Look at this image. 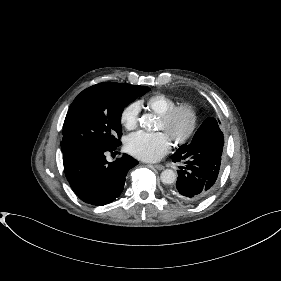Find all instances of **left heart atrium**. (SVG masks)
<instances>
[{
    "mask_svg": "<svg viewBox=\"0 0 281 281\" xmlns=\"http://www.w3.org/2000/svg\"><path fill=\"white\" fill-rule=\"evenodd\" d=\"M171 148V141L164 132L149 134L137 132L126 140V149L134 157L154 162L165 156Z\"/></svg>",
    "mask_w": 281,
    "mask_h": 281,
    "instance_id": "left-heart-atrium-1",
    "label": "left heart atrium"
}]
</instances>
